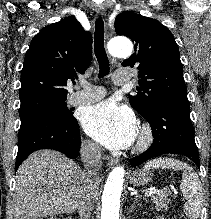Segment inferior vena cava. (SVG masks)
Segmentation results:
<instances>
[{
    "label": "inferior vena cava",
    "mask_w": 211,
    "mask_h": 219,
    "mask_svg": "<svg viewBox=\"0 0 211 219\" xmlns=\"http://www.w3.org/2000/svg\"><path fill=\"white\" fill-rule=\"evenodd\" d=\"M85 167V185L77 201L80 219H90L94 205V190L99 183L98 171L102 166L101 148L91 141H84L80 148Z\"/></svg>",
    "instance_id": "obj_1"
}]
</instances>
